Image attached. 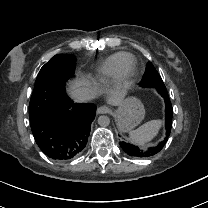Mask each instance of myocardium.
<instances>
[{
  "mask_svg": "<svg viewBox=\"0 0 208 208\" xmlns=\"http://www.w3.org/2000/svg\"><path fill=\"white\" fill-rule=\"evenodd\" d=\"M136 69H137V63H136V61H133V62L129 63V64L123 69V71L121 72V77H122L124 80L129 79L130 77H132V76L135 74Z\"/></svg>",
  "mask_w": 208,
  "mask_h": 208,
  "instance_id": "obj_1",
  "label": "myocardium"
}]
</instances>
